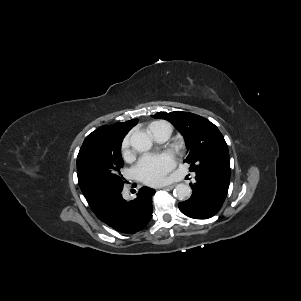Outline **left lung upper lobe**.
Listing matches in <instances>:
<instances>
[{"instance_id":"5c2ea615","label":"left lung upper lobe","mask_w":301,"mask_h":301,"mask_svg":"<svg viewBox=\"0 0 301 301\" xmlns=\"http://www.w3.org/2000/svg\"><path fill=\"white\" fill-rule=\"evenodd\" d=\"M170 121L184 136L190 171L211 173L230 179L229 152L218 128L208 119L188 112H158L152 115Z\"/></svg>"}]
</instances>
